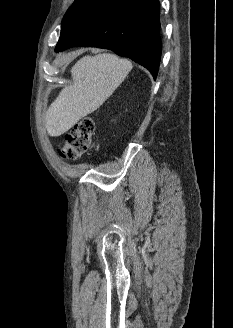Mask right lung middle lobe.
I'll return each mask as SVG.
<instances>
[{
	"mask_svg": "<svg viewBox=\"0 0 233 328\" xmlns=\"http://www.w3.org/2000/svg\"><path fill=\"white\" fill-rule=\"evenodd\" d=\"M92 0H75L72 6L69 8V10L66 12L65 17L69 16L73 12L81 9L82 7L86 6L88 3H90Z\"/></svg>",
	"mask_w": 233,
	"mask_h": 328,
	"instance_id": "obj_1",
	"label": "right lung middle lobe"
}]
</instances>
